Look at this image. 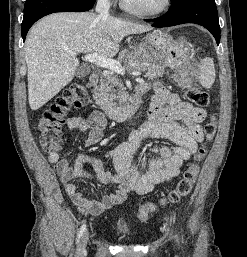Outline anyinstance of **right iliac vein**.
I'll return each mask as SVG.
<instances>
[{"mask_svg":"<svg viewBox=\"0 0 247 257\" xmlns=\"http://www.w3.org/2000/svg\"><path fill=\"white\" fill-rule=\"evenodd\" d=\"M88 240H89V233L86 232L81 238L78 251H77V257H84Z\"/></svg>","mask_w":247,"mask_h":257,"instance_id":"63e3f726","label":"right iliac vein"}]
</instances>
